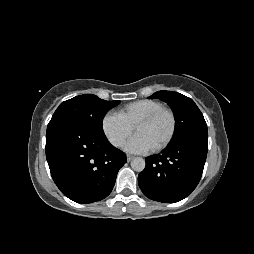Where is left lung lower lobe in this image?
Here are the masks:
<instances>
[{
	"label": "left lung lower lobe",
	"mask_w": 254,
	"mask_h": 254,
	"mask_svg": "<svg viewBox=\"0 0 254 254\" xmlns=\"http://www.w3.org/2000/svg\"><path fill=\"white\" fill-rule=\"evenodd\" d=\"M207 151L208 137H190L147 157L146 167L138 176L142 192L163 203L186 198L200 181Z\"/></svg>",
	"instance_id": "left-lung-lower-lobe-1"
}]
</instances>
